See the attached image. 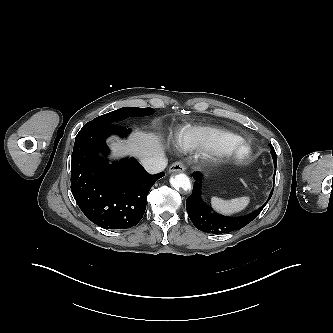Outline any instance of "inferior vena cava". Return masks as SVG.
<instances>
[{"instance_id": "obj_1", "label": "inferior vena cava", "mask_w": 333, "mask_h": 333, "mask_svg": "<svg viewBox=\"0 0 333 333\" xmlns=\"http://www.w3.org/2000/svg\"><path fill=\"white\" fill-rule=\"evenodd\" d=\"M140 162L151 174L163 171L168 164V160L164 156L145 157L140 159Z\"/></svg>"}]
</instances>
